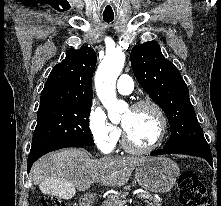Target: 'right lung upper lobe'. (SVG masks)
<instances>
[{
    "mask_svg": "<svg viewBox=\"0 0 221 206\" xmlns=\"http://www.w3.org/2000/svg\"><path fill=\"white\" fill-rule=\"evenodd\" d=\"M96 53L87 46L69 49L66 58L52 69L41 92L40 107L92 103V75Z\"/></svg>",
    "mask_w": 221,
    "mask_h": 206,
    "instance_id": "1",
    "label": "right lung upper lobe"
}]
</instances>
